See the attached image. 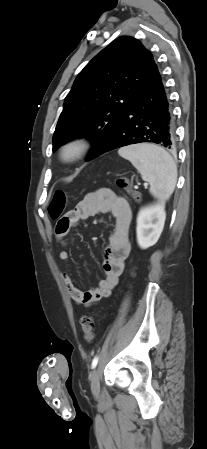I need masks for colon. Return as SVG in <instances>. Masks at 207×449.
I'll return each mask as SVG.
<instances>
[{
    "label": "colon",
    "instance_id": "obj_1",
    "mask_svg": "<svg viewBox=\"0 0 207 449\" xmlns=\"http://www.w3.org/2000/svg\"><path fill=\"white\" fill-rule=\"evenodd\" d=\"M117 185L121 189L127 190L128 194L137 202L141 200V196L137 190H135L130 181L126 177H119L117 179ZM68 202V196L61 190L54 193L52 201L48 207V213L52 220L59 221L62 218ZM81 327L83 337L87 342H92L94 339L95 323L91 316H83L81 318Z\"/></svg>",
    "mask_w": 207,
    "mask_h": 449
}]
</instances>
